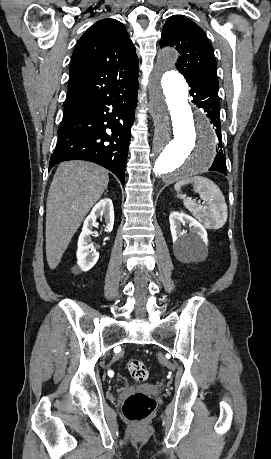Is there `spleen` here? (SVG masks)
<instances>
[{
  "instance_id": "spleen-1",
  "label": "spleen",
  "mask_w": 271,
  "mask_h": 459,
  "mask_svg": "<svg viewBox=\"0 0 271 459\" xmlns=\"http://www.w3.org/2000/svg\"><path fill=\"white\" fill-rule=\"evenodd\" d=\"M186 184H193L197 194H200L201 200L207 202V206H197L192 200H188L185 194H179L182 186ZM174 190L177 192L178 198L183 200V204L197 220H200L201 224H204L207 229H219L224 226L228 218L227 204L225 198L219 190L218 186L203 178V176H191V178H184L181 182H177L174 186Z\"/></svg>"
}]
</instances>
